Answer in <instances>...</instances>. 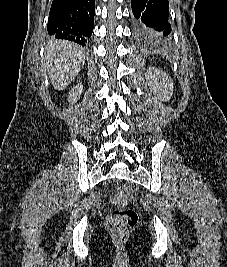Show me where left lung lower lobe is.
Instances as JSON below:
<instances>
[{
    "instance_id": "left-lung-lower-lobe-1",
    "label": "left lung lower lobe",
    "mask_w": 227,
    "mask_h": 267,
    "mask_svg": "<svg viewBox=\"0 0 227 267\" xmlns=\"http://www.w3.org/2000/svg\"><path fill=\"white\" fill-rule=\"evenodd\" d=\"M137 32L145 37L171 33L168 0H131Z\"/></svg>"
}]
</instances>
